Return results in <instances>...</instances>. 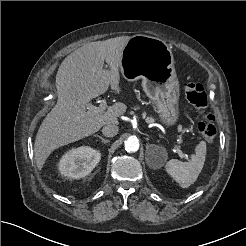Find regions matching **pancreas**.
<instances>
[{
	"mask_svg": "<svg viewBox=\"0 0 246 246\" xmlns=\"http://www.w3.org/2000/svg\"><path fill=\"white\" fill-rule=\"evenodd\" d=\"M135 109H136V108H135ZM146 121H147V122H153V121H154V119H153V118H151V117H147V118H146Z\"/></svg>",
	"mask_w": 246,
	"mask_h": 246,
	"instance_id": "cf45deb5",
	"label": "pancreas"
}]
</instances>
